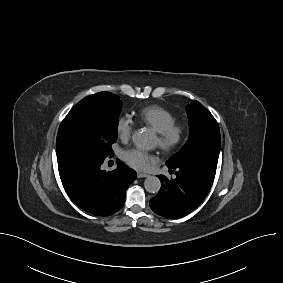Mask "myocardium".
<instances>
[{"label": "myocardium", "mask_w": 283, "mask_h": 283, "mask_svg": "<svg viewBox=\"0 0 283 283\" xmlns=\"http://www.w3.org/2000/svg\"><path fill=\"white\" fill-rule=\"evenodd\" d=\"M158 146L164 151H172L179 147L185 137V126L177 121L157 131Z\"/></svg>", "instance_id": "1"}]
</instances>
